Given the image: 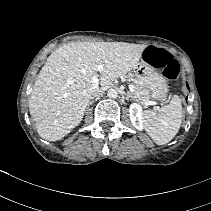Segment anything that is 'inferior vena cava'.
<instances>
[{
	"label": "inferior vena cava",
	"mask_w": 211,
	"mask_h": 211,
	"mask_svg": "<svg viewBox=\"0 0 211 211\" xmlns=\"http://www.w3.org/2000/svg\"><path fill=\"white\" fill-rule=\"evenodd\" d=\"M103 93H104V91L98 90V91L94 92L90 98L91 99L98 98V97L102 96Z\"/></svg>",
	"instance_id": "inferior-vena-cava-1"
}]
</instances>
